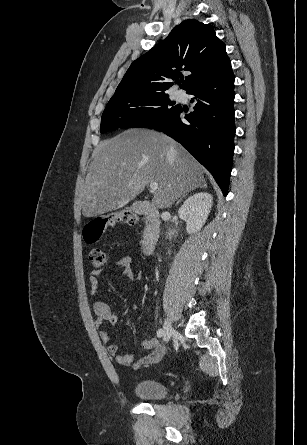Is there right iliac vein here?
I'll use <instances>...</instances> for the list:
<instances>
[{
	"mask_svg": "<svg viewBox=\"0 0 307 445\" xmlns=\"http://www.w3.org/2000/svg\"><path fill=\"white\" fill-rule=\"evenodd\" d=\"M173 332L174 329L172 327L171 321L166 319L163 326V339L165 342H168L171 339Z\"/></svg>",
	"mask_w": 307,
	"mask_h": 445,
	"instance_id": "right-iliac-vein-1",
	"label": "right iliac vein"
}]
</instances>
